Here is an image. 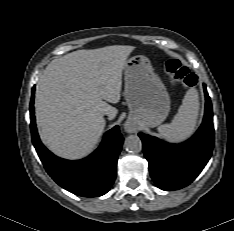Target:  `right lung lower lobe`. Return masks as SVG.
Wrapping results in <instances>:
<instances>
[{
    "label": "right lung lower lobe",
    "instance_id": "right-lung-lower-lobe-1",
    "mask_svg": "<svg viewBox=\"0 0 234 231\" xmlns=\"http://www.w3.org/2000/svg\"><path fill=\"white\" fill-rule=\"evenodd\" d=\"M33 104L34 88L30 103L32 142L48 174L58 185L78 196L97 197L107 193L116 178V165L123 143L119 127L109 130L100 147L89 157L78 161L64 160L41 143Z\"/></svg>",
    "mask_w": 234,
    "mask_h": 231
}]
</instances>
